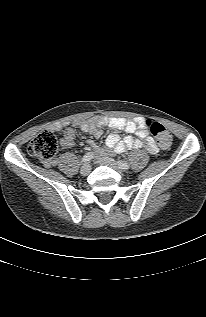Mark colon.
I'll use <instances>...</instances> for the list:
<instances>
[{"label": "colon", "instance_id": "obj_1", "mask_svg": "<svg viewBox=\"0 0 206 317\" xmlns=\"http://www.w3.org/2000/svg\"><path fill=\"white\" fill-rule=\"evenodd\" d=\"M145 125L161 147L168 148L171 145L172 136L162 124L148 120ZM57 150L58 140L48 130L40 132L28 145L30 155L45 162L50 161L56 155Z\"/></svg>", "mask_w": 206, "mask_h": 317}]
</instances>
